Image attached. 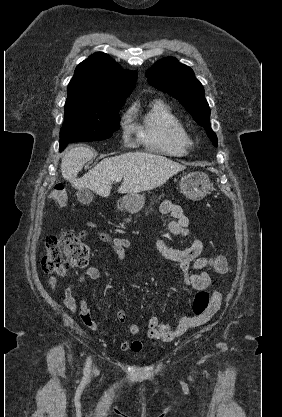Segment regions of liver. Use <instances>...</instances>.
Instances as JSON below:
<instances>
[{
  "label": "liver",
  "instance_id": "obj_1",
  "mask_svg": "<svg viewBox=\"0 0 282 417\" xmlns=\"http://www.w3.org/2000/svg\"><path fill=\"white\" fill-rule=\"evenodd\" d=\"M92 158L87 146H75L64 154L61 162V174L71 182L74 188H90L99 196H109L111 184L115 178H123L118 192H142L162 186L170 176L184 170L186 166L170 160L167 156L151 152H125L119 156L103 158L84 176L77 178L85 162Z\"/></svg>",
  "mask_w": 282,
  "mask_h": 417
}]
</instances>
